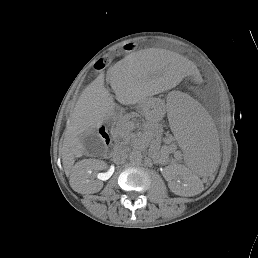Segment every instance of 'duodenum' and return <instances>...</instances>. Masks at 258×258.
<instances>
[{
	"label": "duodenum",
	"instance_id": "1",
	"mask_svg": "<svg viewBox=\"0 0 258 258\" xmlns=\"http://www.w3.org/2000/svg\"><path fill=\"white\" fill-rule=\"evenodd\" d=\"M101 134L103 135L104 140L108 144L109 143V139H110L109 134L104 129H102Z\"/></svg>",
	"mask_w": 258,
	"mask_h": 258
}]
</instances>
